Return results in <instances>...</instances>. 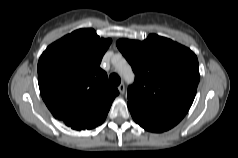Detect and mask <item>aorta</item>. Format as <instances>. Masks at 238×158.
I'll return each instance as SVG.
<instances>
[{
	"label": "aorta",
	"instance_id": "aorta-1",
	"mask_svg": "<svg viewBox=\"0 0 238 158\" xmlns=\"http://www.w3.org/2000/svg\"><path fill=\"white\" fill-rule=\"evenodd\" d=\"M126 68L128 69V72H127V74H124V77L127 81H132L133 80V73H132L130 67H126ZM121 73H122V71H121Z\"/></svg>",
	"mask_w": 238,
	"mask_h": 158
}]
</instances>
